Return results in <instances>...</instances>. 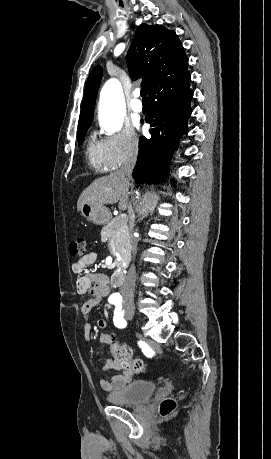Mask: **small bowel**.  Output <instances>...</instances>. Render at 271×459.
<instances>
[{"label": "small bowel", "instance_id": "c3829d8e", "mask_svg": "<svg viewBox=\"0 0 271 459\" xmlns=\"http://www.w3.org/2000/svg\"><path fill=\"white\" fill-rule=\"evenodd\" d=\"M98 255L96 252H89L77 259L72 264L73 272L79 274L76 282V290L78 294H89L90 298L84 302L81 307L83 318L85 319L83 333L86 340L92 337V325L88 319L92 309L99 303V301L108 294V277L102 273L86 272L85 269L93 265L97 261ZM97 327L105 329L107 322L104 318H99L96 322ZM100 341L104 344H109L111 338L108 334H102ZM104 370H116L119 373L113 375L111 378H104L100 381L101 388L106 392L115 391L123 388L129 383L133 377V371L126 369L116 359H108L104 364Z\"/></svg>", "mask_w": 271, "mask_h": 459}]
</instances>
